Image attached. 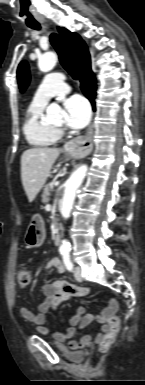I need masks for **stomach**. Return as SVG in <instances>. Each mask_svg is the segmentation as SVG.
I'll return each instance as SVG.
<instances>
[{
	"label": "stomach",
	"instance_id": "1",
	"mask_svg": "<svg viewBox=\"0 0 145 385\" xmlns=\"http://www.w3.org/2000/svg\"><path fill=\"white\" fill-rule=\"evenodd\" d=\"M44 222L40 217L34 216L25 233V243L29 248H36L43 244L45 240Z\"/></svg>",
	"mask_w": 145,
	"mask_h": 385
}]
</instances>
